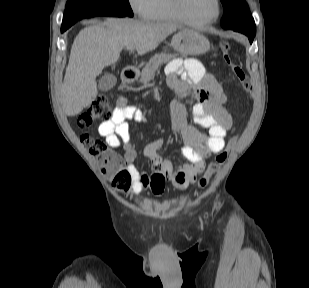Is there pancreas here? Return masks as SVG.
Instances as JSON below:
<instances>
[{
    "mask_svg": "<svg viewBox=\"0 0 309 288\" xmlns=\"http://www.w3.org/2000/svg\"><path fill=\"white\" fill-rule=\"evenodd\" d=\"M176 55L158 53L155 54L148 63L144 66L141 73L140 82L147 84L155 76V72L160 68L163 63H167L170 60L174 59Z\"/></svg>",
    "mask_w": 309,
    "mask_h": 288,
    "instance_id": "1",
    "label": "pancreas"
}]
</instances>
